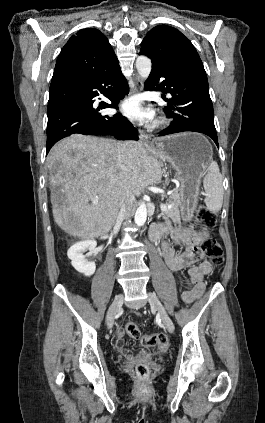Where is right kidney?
<instances>
[{"label": "right kidney", "instance_id": "obj_1", "mask_svg": "<svg viewBox=\"0 0 265 423\" xmlns=\"http://www.w3.org/2000/svg\"><path fill=\"white\" fill-rule=\"evenodd\" d=\"M97 243L95 240H84L75 243L67 252L68 258L71 260L72 266L85 276H91L94 274L96 265L95 262H89L85 259L83 254L87 250H95Z\"/></svg>", "mask_w": 265, "mask_h": 423}]
</instances>
